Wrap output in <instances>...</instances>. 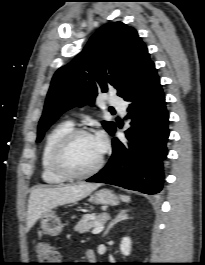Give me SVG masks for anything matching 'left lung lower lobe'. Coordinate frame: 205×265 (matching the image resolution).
Returning a JSON list of instances; mask_svg holds the SVG:
<instances>
[{"mask_svg": "<svg viewBox=\"0 0 205 265\" xmlns=\"http://www.w3.org/2000/svg\"><path fill=\"white\" fill-rule=\"evenodd\" d=\"M124 100L131 102L128 112L133 116L132 127L125 132L128 142L124 145L114 138L108 164L87 181L157 194L163 187L169 114L154 65Z\"/></svg>", "mask_w": 205, "mask_h": 265, "instance_id": "1", "label": "left lung lower lobe"}]
</instances>
